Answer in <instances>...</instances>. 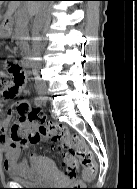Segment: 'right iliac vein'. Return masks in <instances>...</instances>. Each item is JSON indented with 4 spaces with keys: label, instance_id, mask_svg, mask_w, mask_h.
Returning a JSON list of instances; mask_svg holds the SVG:
<instances>
[{
    "label": "right iliac vein",
    "instance_id": "63e3f726",
    "mask_svg": "<svg viewBox=\"0 0 137 189\" xmlns=\"http://www.w3.org/2000/svg\"><path fill=\"white\" fill-rule=\"evenodd\" d=\"M40 94H41L42 96H45V95L47 94V90H46V89L41 90V91H40Z\"/></svg>",
    "mask_w": 137,
    "mask_h": 189
}]
</instances>
